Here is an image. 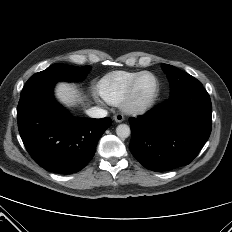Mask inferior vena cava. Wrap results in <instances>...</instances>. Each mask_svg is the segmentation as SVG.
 <instances>
[{
    "instance_id": "obj_1",
    "label": "inferior vena cava",
    "mask_w": 232,
    "mask_h": 232,
    "mask_svg": "<svg viewBox=\"0 0 232 232\" xmlns=\"http://www.w3.org/2000/svg\"><path fill=\"white\" fill-rule=\"evenodd\" d=\"M86 113L91 118H104L107 116V111L98 107H91L86 110Z\"/></svg>"
}]
</instances>
